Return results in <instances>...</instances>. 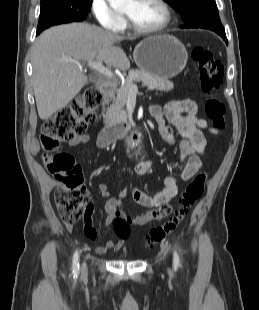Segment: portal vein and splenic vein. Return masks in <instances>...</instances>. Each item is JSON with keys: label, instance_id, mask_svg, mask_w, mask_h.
Returning a JSON list of instances; mask_svg holds the SVG:
<instances>
[{"label": "portal vein and splenic vein", "instance_id": "portal-vein-and-splenic-vein-1", "mask_svg": "<svg viewBox=\"0 0 259 310\" xmlns=\"http://www.w3.org/2000/svg\"><path fill=\"white\" fill-rule=\"evenodd\" d=\"M88 66L91 69H94L96 71H98L100 74L110 77L112 78L114 75L111 72L110 69L106 68L101 62L99 61H89L88 62ZM129 91L130 92H137L138 91V87L135 84H131L129 87Z\"/></svg>", "mask_w": 259, "mask_h": 310}]
</instances>
